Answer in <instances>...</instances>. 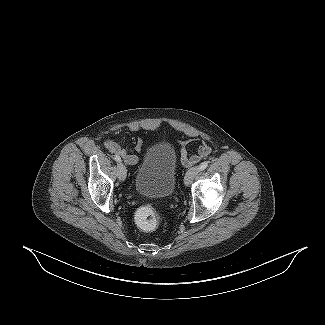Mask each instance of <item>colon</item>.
Instances as JSON below:
<instances>
[{
  "label": "colon",
  "instance_id": "obj_1",
  "mask_svg": "<svg viewBox=\"0 0 325 325\" xmlns=\"http://www.w3.org/2000/svg\"><path fill=\"white\" fill-rule=\"evenodd\" d=\"M138 226L144 231H153L161 223V215L152 207H141L135 215Z\"/></svg>",
  "mask_w": 325,
  "mask_h": 325
}]
</instances>
